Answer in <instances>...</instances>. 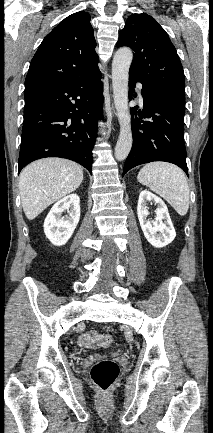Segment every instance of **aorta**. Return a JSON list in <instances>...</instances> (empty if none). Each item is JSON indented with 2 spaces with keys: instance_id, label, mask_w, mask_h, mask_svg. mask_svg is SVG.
I'll use <instances>...</instances> for the list:
<instances>
[{
  "instance_id": "762f6f07",
  "label": "aorta",
  "mask_w": 213,
  "mask_h": 433,
  "mask_svg": "<svg viewBox=\"0 0 213 433\" xmlns=\"http://www.w3.org/2000/svg\"><path fill=\"white\" fill-rule=\"evenodd\" d=\"M133 59L131 49L124 47L116 51L112 62V88L114 104L120 124V134L115 147V158H127L133 143L131 115L128 107L129 68Z\"/></svg>"
}]
</instances>
